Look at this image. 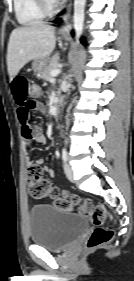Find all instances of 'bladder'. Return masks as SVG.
<instances>
[{
	"instance_id": "obj_1",
	"label": "bladder",
	"mask_w": 134,
	"mask_h": 281,
	"mask_svg": "<svg viewBox=\"0 0 134 281\" xmlns=\"http://www.w3.org/2000/svg\"><path fill=\"white\" fill-rule=\"evenodd\" d=\"M88 225L84 215L50 205H35L30 210L29 236L36 245L62 251L83 234Z\"/></svg>"
}]
</instances>
